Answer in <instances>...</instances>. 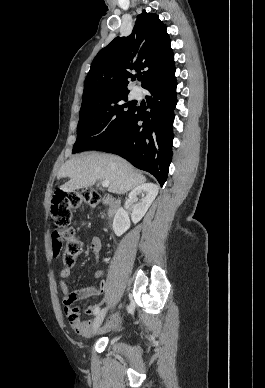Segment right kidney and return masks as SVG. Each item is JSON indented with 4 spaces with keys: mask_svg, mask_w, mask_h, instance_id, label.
Wrapping results in <instances>:
<instances>
[{
    "mask_svg": "<svg viewBox=\"0 0 265 388\" xmlns=\"http://www.w3.org/2000/svg\"><path fill=\"white\" fill-rule=\"evenodd\" d=\"M158 190L159 188L156 186V184H141V186H137V188H134V190L130 192L128 198L129 200H132V202H137V196H141L142 198L138 204L133 206L131 214V220L133 224H138V222L142 220L143 216H145L152 202H154L158 194ZM129 228V216L124 208H119L113 220L114 234H116V236H122V234H125Z\"/></svg>",
    "mask_w": 265,
    "mask_h": 388,
    "instance_id": "ca27d5eb",
    "label": "right kidney"
}]
</instances>
